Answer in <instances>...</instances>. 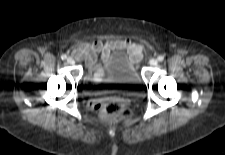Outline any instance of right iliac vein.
Instances as JSON below:
<instances>
[{
  "mask_svg": "<svg viewBox=\"0 0 225 155\" xmlns=\"http://www.w3.org/2000/svg\"><path fill=\"white\" fill-rule=\"evenodd\" d=\"M67 63L72 65V64L75 63V61H74V59L72 57H68L67 58Z\"/></svg>",
  "mask_w": 225,
  "mask_h": 155,
  "instance_id": "right-iliac-vein-1",
  "label": "right iliac vein"
}]
</instances>
